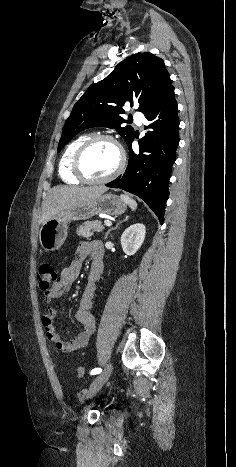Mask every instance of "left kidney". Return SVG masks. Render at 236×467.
<instances>
[{"mask_svg":"<svg viewBox=\"0 0 236 467\" xmlns=\"http://www.w3.org/2000/svg\"><path fill=\"white\" fill-rule=\"evenodd\" d=\"M146 228L137 223L128 227L121 236V245L127 255H134L144 242Z\"/></svg>","mask_w":236,"mask_h":467,"instance_id":"left-kidney-1","label":"left kidney"}]
</instances>
